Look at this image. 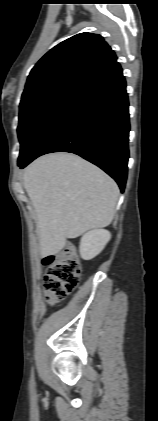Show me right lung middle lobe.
I'll use <instances>...</instances> for the list:
<instances>
[{"label":"right lung middle lobe","instance_id":"obj_1","mask_svg":"<svg viewBox=\"0 0 158 421\" xmlns=\"http://www.w3.org/2000/svg\"><path fill=\"white\" fill-rule=\"evenodd\" d=\"M81 86L80 83L61 82L22 97L18 125L21 147L18 164L27 158L44 127Z\"/></svg>","mask_w":158,"mask_h":421}]
</instances>
